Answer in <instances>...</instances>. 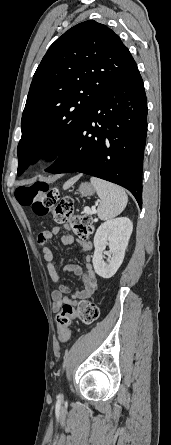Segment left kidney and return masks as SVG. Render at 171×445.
Returning <instances> with one entry per match:
<instances>
[{
	"label": "left kidney",
	"mask_w": 171,
	"mask_h": 445,
	"mask_svg": "<svg viewBox=\"0 0 171 445\" xmlns=\"http://www.w3.org/2000/svg\"><path fill=\"white\" fill-rule=\"evenodd\" d=\"M132 230V221L126 217L107 220L98 227L94 236L95 251L92 263L100 277L108 279L117 272L123 262ZM107 245L112 255L108 263L104 261Z\"/></svg>",
	"instance_id": "obj_1"
}]
</instances>
